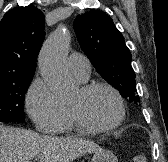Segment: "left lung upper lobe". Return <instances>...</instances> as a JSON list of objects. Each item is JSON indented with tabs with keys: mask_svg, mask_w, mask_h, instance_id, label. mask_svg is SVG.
<instances>
[{
	"mask_svg": "<svg viewBox=\"0 0 168 162\" xmlns=\"http://www.w3.org/2000/svg\"><path fill=\"white\" fill-rule=\"evenodd\" d=\"M79 44L96 71L122 97L137 104L135 73L131 53L112 19L97 10L78 15L73 23Z\"/></svg>",
	"mask_w": 168,
	"mask_h": 162,
	"instance_id": "obj_1",
	"label": "left lung upper lobe"
}]
</instances>
